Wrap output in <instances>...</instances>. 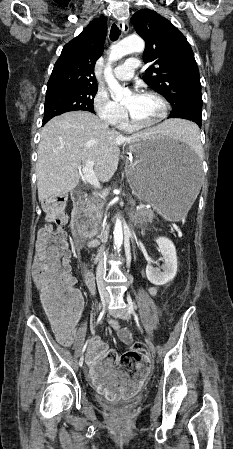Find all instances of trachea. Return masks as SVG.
<instances>
[{
  "mask_svg": "<svg viewBox=\"0 0 233 449\" xmlns=\"http://www.w3.org/2000/svg\"><path fill=\"white\" fill-rule=\"evenodd\" d=\"M119 34H120V29L117 27V25L114 23L113 25H112V27H111V30H110V39L112 40V41H116L117 39H118V37H119Z\"/></svg>",
  "mask_w": 233,
  "mask_h": 449,
  "instance_id": "1",
  "label": "trachea"
}]
</instances>
